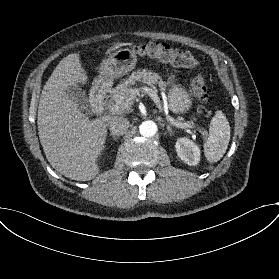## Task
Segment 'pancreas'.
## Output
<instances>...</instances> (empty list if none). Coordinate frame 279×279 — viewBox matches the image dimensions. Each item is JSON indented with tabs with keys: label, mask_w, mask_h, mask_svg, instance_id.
I'll use <instances>...</instances> for the list:
<instances>
[{
	"label": "pancreas",
	"mask_w": 279,
	"mask_h": 279,
	"mask_svg": "<svg viewBox=\"0 0 279 279\" xmlns=\"http://www.w3.org/2000/svg\"><path fill=\"white\" fill-rule=\"evenodd\" d=\"M138 82L146 83L150 86H154L157 83L160 88L165 86V82L160 80L157 73H153L149 69L136 70L127 79L120 82L115 89L118 96H114L113 101L119 110L117 114L128 112L134 104L136 95L131 87L137 85Z\"/></svg>",
	"instance_id": "pancreas-1"
}]
</instances>
